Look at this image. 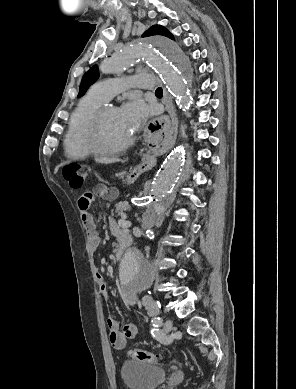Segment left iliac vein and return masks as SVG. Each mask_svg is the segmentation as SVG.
I'll return each mask as SVG.
<instances>
[{"instance_id": "4c4485c4", "label": "left iliac vein", "mask_w": 296, "mask_h": 389, "mask_svg": "<svg viewBox=\"0 0 296 389\" xmlns=\"http://www.w3.org/2000/svg\"><path fill=\"white\" fill-rule=\"evenodd\" d=\"M173 323L171 320H166L163 327V333H169L172 330Z\"/></svg>"}]
</instances>
